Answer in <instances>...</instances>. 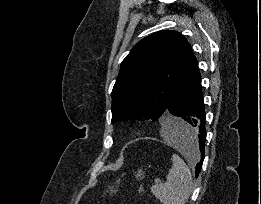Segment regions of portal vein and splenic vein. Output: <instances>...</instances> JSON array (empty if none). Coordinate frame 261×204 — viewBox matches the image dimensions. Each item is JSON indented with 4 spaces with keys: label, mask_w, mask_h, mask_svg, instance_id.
<instances>
[{
    "label": "portal vein and splenic vein",
    "mask_w": 261,
    "mask_h": 204,
    "mask_svg": "<svg viewBox=\"0 0 261 204\" xmlns=\"http://www.w3.org/2000/svg\"><path fill=\"white\" fill-rule=\"evenodd\" d=\"M160 183V181H158V180H155V184H159Z\"/></svg>",
    "instance_id": "18ae733b"
}]
</instances>
